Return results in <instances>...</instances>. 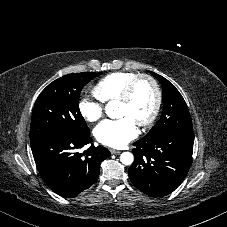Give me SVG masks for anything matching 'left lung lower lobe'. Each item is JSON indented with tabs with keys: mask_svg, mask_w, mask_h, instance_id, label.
I'll use <instances>...</instances> for the list:
<instances>
[{
	"mask_svg": "<svg viewBox=\"0 0 227 227\" xmlns=\"http://www.w3.org/2000/svg\"><path fill=\"white\" fill-rule=\"evenodd\" d=\"M194 132L175 133L133 145L129 168L132 184L152 197L172 193L184 180L192 162Z\"/></svg>",
	"mask_w": 227,
	"mask_h": 227,
	"instance_id": "obj_1",
	"label": "left lung lower lobe"
}]
</instances>
